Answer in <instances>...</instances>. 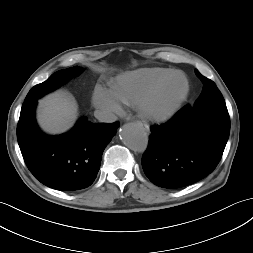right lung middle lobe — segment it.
<instances>
[{
	"label": "right lung middle lobe",
	"instance_id": "obj_1",
	"mask_svg": "<svg viewBox=\"0 0 253 253\" xmlns=\"http://www.w3.org/2000/svg\"><path fill=\"white\" fill-rule=\"evenodd\" d=\"M82 68L75 66L68 69L60 70L54 74H52L46 81L34 86L25 98V102L38 99L46 93L55 90L60 85L64 84L66 81L71 79L72 77L77 76L80 72H82Z\"/></svg>",
	"mask_w": 253,
	"mask_h": 253
}]
</instances>
